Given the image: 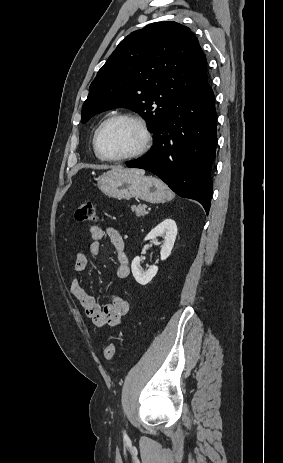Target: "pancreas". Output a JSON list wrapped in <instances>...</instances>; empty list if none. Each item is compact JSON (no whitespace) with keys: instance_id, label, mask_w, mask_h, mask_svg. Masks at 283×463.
I'll return each mask as SVG.
<instances>
[{"instance_id":"cf45deb5","label":"pancreas","mask_w":283,"mask_h":463,"mask_svg":"<svg viewBox=\"0 0 283 463\" xmlns=\"http://www.w3.org/2000/svg\"><path fill=\"white\" fill-rule=\"evenodd\" d=\"M146 208H147L146 205H144V204H139V205H133V206L131 207V210H132L133 212H135V214H136L137 217H142V216H144L145 214H147Z\"/></svg>"}]
</instances>
